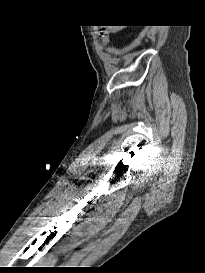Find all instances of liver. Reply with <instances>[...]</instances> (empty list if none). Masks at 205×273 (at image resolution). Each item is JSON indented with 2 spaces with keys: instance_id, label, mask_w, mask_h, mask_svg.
Segmentation results:
<instances>
[{
  "instance_id": "6515ba94",
  "label": "liver",
  "mask_w": 205,
  "mask_h": 273,
  "mask_svg": "<svg viewBox=\"0 0 205 273\" xmlns=\"http://www.w3.org/2000/svg\"><path fill=\"white\" fill-rule=\"evenodd\" d=\"M110 28V30H112V31H119V30H121V28L122 27H120V26H111V27H109Z\"/></svg>"
}]
</instances>
